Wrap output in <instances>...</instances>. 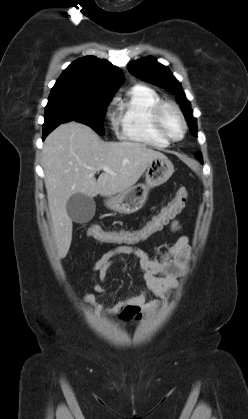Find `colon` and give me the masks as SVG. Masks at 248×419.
<instances>
[{
    "label": "colon",
    "instance_id": "colon-1",
    "mask_svg": "<svg viewBox=\"0 0 248 419\" xmlns=\"http://www.w3.org/2000/svg\"><path fill=\"white\" fill-rule=\"evenodd\" d=\"M188 197V191L185 187H181L177 190L171 201L164 206L160 212L154 215L149 221L146 227V233L156 232L170 220H172L184 207ZM90 237L100 242H112V243H128L134 240L133 236H130L123 232L105 230L99 226H94L89 229Z\"/></svg>",
    "mask_w": 248,
    "mask_h": 419
}]
</instances>
